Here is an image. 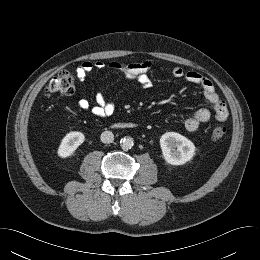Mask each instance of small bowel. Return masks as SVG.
<instances>
[{
    "mask_svg": "<svg viewBox=\"0 0 260 260\" xmlns=\"http://www.w3.org/2000/svg\"><path fill=\"white\" fill-rule=\"evenodd\" d=\"M153 66L154 62L152 60L113 61L108 65L102 61H84L75 69V75L80 82H83L91 71L103 70L109 67L115 72L135 79L142 88L147 89L151 86L149 73ZM171 73L175 78L185 79L187 82L202 88L206 99L212 104L214 117L218 121H225L228 118L229 112L227 105L225 101L220 98L213 83L208 78L195 71H186L179 66L173 67ZM78 106L81 110L90 109V103L86 99L80 100ZM114 110L115 104L100 93L96 96V103L91 108L92 114L97 118H107L113 114ZM210 117L211 113L208 109L200 108L187 116L184 120V124L188 131L193 132L196 131L201 124L206 123Z\"/></svg>",
    "mask_w": 260,
    "mask_h": 260,
    "instance_id": "small-bowel-1",
    "label": "small bowel"
}]
</instances>
